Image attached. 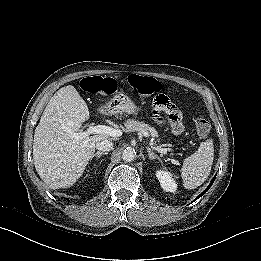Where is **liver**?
I'll return each instance as SVG.
<instances>
[{
    "instance_id": "1",
    "label": "liver",
    "mask_w": 261,
    "mask_h": 261,
    "mask_svg": "<svg viewBox=\"0 0 261 261\" xmlns=\"http://www.w3.org/2000/svg\"><path fill=\"white\" fill-rule=\"evenodd\" d=\"M89 117L86 102L72 85L60 88L48 102L33 144L36 171L48 186L73 185L92 159L96 143L108 138L106 134L75 137Z\"/></svg>"
}]
</instances>
